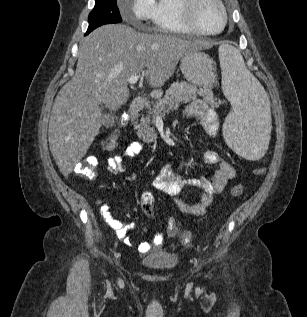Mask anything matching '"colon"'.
I'll use <instances>...</instances> for the list:
<instances>
[{
    "label": "colon",
    "instance_id": "obj_1",
    "mask_svg": "<svg viewBox=\"0 0 307 317\" xmlns=\"http://www.w3.org/2000/svg\"><path fill=\"white\" fill-rule=\"evenodd\" d=\"M128 124L126 117H122L119 121V127L115 130L111 136L103 143V149L105 151L113 150L118 142L120 136V129L124 128ZM97 159L94 156H89L79 162L75 168L77 174L82 175L87 179H93L97 173ZM265 172V160H263L259 167L254 170V174L262 175ZM244 186L242 184H237L232 187L231 195L232 197L238 198L243 194ZM140 203L143 212L150 218H154V204L155 199L152 193L143 192L140 196ZM168 234L171 236H179L182 243L188 245L192 240V234L186 230H180L174 219H169Z\"/></svg>",
    "mask_w": 307,
    "mask_h": 317
}]
</instances>
